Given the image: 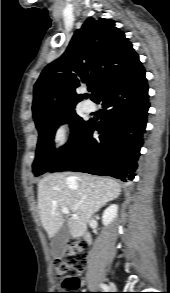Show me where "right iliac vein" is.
<instances>
[{
  "label": "right iliac vein",
  "instance_id": "right-iliac-vein-1",
  "mask_svg": "<svg viewBox=\"0 0 170 293\" xmlns=\"http://www.w3.org/2000/svg\"><path fill=\"white\" fill-rule=\"evenodd\" d=\"M115 288H116V287H115V285H114L113 283H111V284L109 285V289H110V290H115Z\"/></svg>",
  "mask_w": 170,
  "mask_h": 293
}]
</instances>
